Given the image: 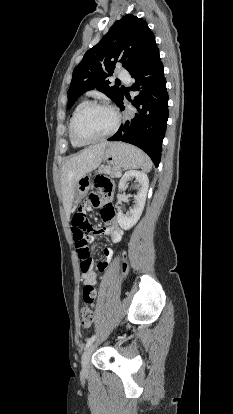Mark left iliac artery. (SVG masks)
Returning <instances> with one entry per match:
<instances>
[{
  "label": "left iliac artery",
  "mask_w": 233,
  "mask_h": 414,
  "mask_svg": "<svg viewBox=\"0 0 233 414\" xmlns=\"http://www.w3.org/2000/svg\"><path fill=\"white\" fill-rule=\"evenodd\" d=\"M96 339V335L91 336L86 343V348H88Z\"/></svg>",
  "instance_id": "44dca946"
}]
</instances>
